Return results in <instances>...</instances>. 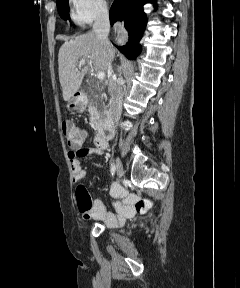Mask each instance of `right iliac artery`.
<instances>
[{
    "label": "right iliac artery",
    "mask_w": 240,
    "mask_h": 288,
    "mask_svg": "<svg viewBox=\"0 0 240 288\" xmlns=\"http://www.w3.org/2000/svg\"><path fill=\"white\" fill-rule=\"evenodd\" d=\"M115 174V168H114V165L111 164V175L114 176Z\"/></svg>",
    "instance_id": "right-iliac-artery-1"
}]
</instances>
